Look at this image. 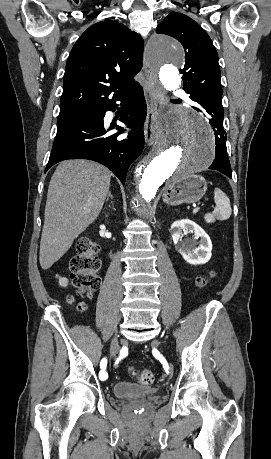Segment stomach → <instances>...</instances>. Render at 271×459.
<instances>
[{"label":"stomach","mask_w":271,"mask_h":459,"mask_svg":"<svg viewBox=\"0 0 271 459\" xmlns=\"http://www.w3.org/2000/svg\"><path fill=\"white\" fill-rule=\"evenodd\" d=\"M207 182L203 176H183L167 182L163 190V200L170 206L195 204L203 198Z\"/></svg>","instance_id":"stomach-1"}]
</instances>
